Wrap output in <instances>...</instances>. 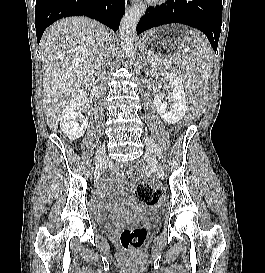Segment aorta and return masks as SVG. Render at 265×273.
Segmentation results:
<instances>
[{"instance_id": "obj_1", "label": "aorta", "mask_w": 265, "mask_h": 273, "mask_svg": "<svg viewBox=\"0 0 265 273\" xmlns=\"http://www.w3.org/2000/svg\"><path fill=\"white\" fill-rule=\"evenodd\" d=\"M146 6L143 3L133 6L121 20L119 28V36L121 46L128 57L134 54V40L136 35V26L140 18L144 15Z\"/></svg>"}]
</instances>
